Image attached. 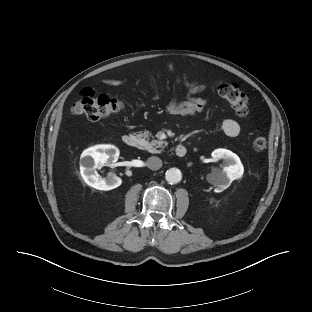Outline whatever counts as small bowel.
Segmentation results:
<instances>
[{
    "instance_id": "1",
    "label": "small bowel",
    "mask_w": 312,
    "mask_h": 312,
    "mask_svg": "<svg viewBox=\"0 0 312 312\" xmlns=\"http://www.w3.org/2000/svg\"><path fill=\"white\" fill-rule=\"evenodd\" d=\"M106 84L109 85H120L122 80L107 79L104 80ZM189 90V94L186 100L180 101L177 98H174L166 107V112L171 115L178 116H195L204 111L205 107L208 104V100L205 98L194 97L193 95L197 92H200L204 89V86L198 85L195 83L186 84ZM155 96H158V90L155 91ZM222 130L229 137H236L241 131V125L238 121L227 118L222 122Z\"/></svg>"
}]
</instances>
